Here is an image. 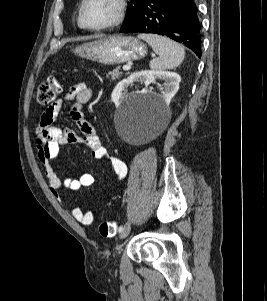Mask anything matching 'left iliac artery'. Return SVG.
Wrapping results in <instances>:
<instances>
[{
    "instance_id": "44dca946",
    "label": "left iliac artery",
    "mask_w": 267,
    "mask_h": 301,
    "mask_svg": "<svg viewBox=\"0 0 267 301\" xmlns=\"http://www.w3.org/2000/svg\"><path fill=\"white\" fill-rule=\"evenodd\" d=\"M122 230H123V226H120V227L118 228V231L121 232Z\"/></svg>"
}]
</instances>
